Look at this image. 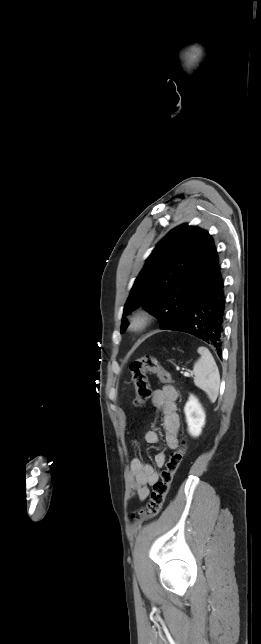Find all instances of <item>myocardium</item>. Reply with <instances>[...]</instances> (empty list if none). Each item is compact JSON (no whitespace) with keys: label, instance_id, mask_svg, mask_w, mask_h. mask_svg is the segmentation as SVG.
Wrapping results in <instances>:
<instances>
[{"label":"myocardium","instance_id":"obj_1","mask_svg":"<svg viewBox=\"0 0 261 644\" xmlns=\"http://www.w3.org/2000/svg\"><path fill=\"white\" fill-rule=\"evenodd\" d=\"M153 312L148 308L137 309L129 320V330L133 333L144 331L153 320Z\"/></svg>","mask_w":261,"mask_h":644}]
</instances>
